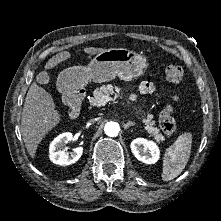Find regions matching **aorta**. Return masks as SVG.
I'll list each match as a JSON object with an SVG mask.
<instances>
[{
    "label": "aorta",
    "instance_id": "762f6f07",
    "mask_svg": "<svg viewBox=\"0 0 221 221\" xmlns=\"http://www.w3.org/2000/svg\"><path fill=\"white\" fill-rule=\"evenodd\" d=\"M120 131L119 124L117 122H107L104 127V132L109 137H115Z\"/></svg>",
    "mask_w": 221,
    "mask_h": 221
}]
</instances>
